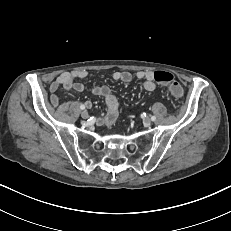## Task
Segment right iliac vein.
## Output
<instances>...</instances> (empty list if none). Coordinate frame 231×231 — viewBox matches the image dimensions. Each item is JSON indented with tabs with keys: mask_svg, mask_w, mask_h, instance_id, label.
<instances>
[{
	"mask_svg": "<svg viewBox=\"0 0 231 231\" xmlns=\"http://www.w3.org/2000/svg\"><path fill=\"white\" fill-rule=\"evenodd\" d=\"M81 117L84 118V119H87L89 117V114L86 110L82 111L81 112Z\"/></svg>",
	"mask_w": 231,
	"mask_h": 231,
	"instance_id": "obj_1",
	"label": "right iliac vein"
}]
</instances>
